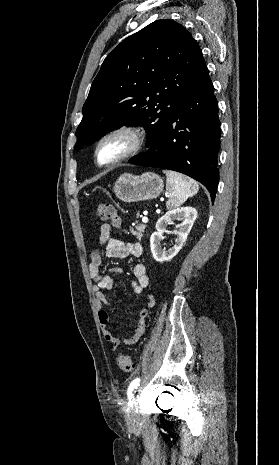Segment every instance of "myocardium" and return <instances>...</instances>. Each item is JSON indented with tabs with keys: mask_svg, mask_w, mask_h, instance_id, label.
Wrapping results in <instances>:
<instances>
[{
	"mask_svg": "<svg viewBox=\"0 0 279 465\" xmlns=\"http://www.w3.org/2000/svg\"><path fill=\"white\" fill-rule=\"evenodd\" d=\"M115 135H126L130 139V146L123 154H121L117 158L107 162H103L101 161L99 156L100 148L106 140ZM146 141L147 132L143 126L137 124H123L116 126L105 132L97 141L94 152L96 162L100 166H112L117 163H120L138 153L145 146Z\"/></svg>",
	"mask_w": 279,
	"mask_h": 465,
	"instance_id": "myocardium-1",
	"label": "myocardium"
}]
</instances>
